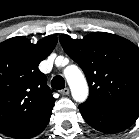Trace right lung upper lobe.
Instances as JSON below:
<instances>
[{"instance_id": "1", "label": "right lung upper lobe", "mask_w": 139, "mask_h": 139, "mask_svg": "<svg viewBox=\"0 0 139 139\" xmlns=\"http://www.w3.org/2000/svg\"><path fill=\"white\" fill-rule=\"evenodd\" d=\"M50 35L32 44L18 36L0 43V132L10 136L53 109L55 98L39 63L57 44Z\"/></svg>"}]
</instances>
